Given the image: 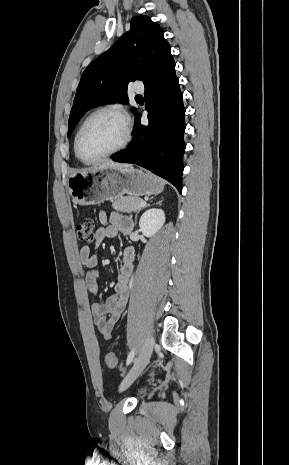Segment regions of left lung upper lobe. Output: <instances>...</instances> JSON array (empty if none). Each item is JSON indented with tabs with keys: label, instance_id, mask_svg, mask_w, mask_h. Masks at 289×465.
<instances>
[{
	"label": "left lung upper lobe",
	"instance_id": "1",
	"mask_svg": "<svg viewBox=\"0 0 289 465\" xmlns=\"http://www.w3.org/2000/svg\"><path fill=\"white\" fill-rule=\"evenodd\" d=\"M162 28L148 16H135L130 30L82 74L69 117L68 137L81 116L104 103H127L130 81L148 86L175 69L170 45ZM134 114L136 109L132 108Z\"/></svg>",
	"mask_w": 289,
	"mask_h": 465
}]
</instances>
